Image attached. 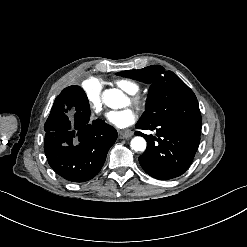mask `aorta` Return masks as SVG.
<instances>
[{"label": "aorta", "instance_id": "1", "mask_svg": "<svg viewBox=\"0 0 247 247\" xmlns=\"http://www.w3.org/2000/svg\"><path fill=\"white\" fill-rule=\"evenodd\" d=\"M103 101L104 103L112 108H120L123 103V94L120 90L117 89H108L103 93ZM146 141L143 137L136 136L131 140V148L134 151L143 152L146 149Z\"/></svg>", "mask_w": 247, "mask_h": 247}]
</instances>
